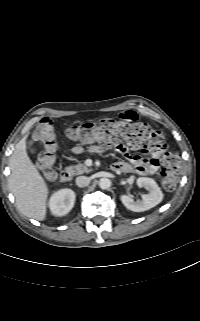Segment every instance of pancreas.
<instances>
[{"instance_id": "1", "label": "pancreas", "mask_w": 200, "mask_h": 321, "mask_svg": "<svg viewBox=\"0 0 200 321\" xmlns=\"http://www.w3.org/2000/svg\"><path fill=\"white\" fill-rule=\"evenodd\" d=\"M69 169H71L73 171V173L76 175H80L83 173H89L91 171L90 168H88L84 163H81V162L75 166L69 167Z\"/></svg>"}]
</instances>
